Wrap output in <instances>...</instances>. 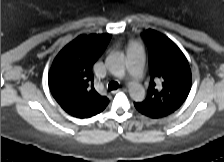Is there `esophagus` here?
I'll use <instances>...</instances> for the list:
<instances>
[{
    "instance_id": "1",
    "label": "esophagus",
    "mask_w": 224,
    "mask_h": 162,
    "mask_svg": "<svg viewBox=\"0 0 224 162\" xmlns=\"http://www.w3.org/2000/svg\"><path fill=\"white\" fill-rule=\"evenodd\" d=\"M120 90H122V91H127L126 88H122V89H120ZM118 91H119V90H114L112 93L115 94V93H117Z\"/></svg>"
}]
</instances>
